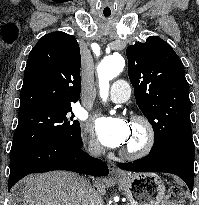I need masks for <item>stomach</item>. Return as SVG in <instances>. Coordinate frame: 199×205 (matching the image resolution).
I'll use <instances>...</instances> for the list:
<instances>
[{"label":"stomach","instance_id":"stomach-1","mask_svg":"<svg viewBox=\"0 0 199 205\" xmlns=\"http://www.w3.org/2000/svg\"><path fill=\"white\" fill-rule=\"evenodd\" d=\"M115 182L131 205H160L165 197L164 182L155 173L127 174Z\"/></svg>","mask_w":199,"mask_h":205}]
</instances>
